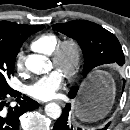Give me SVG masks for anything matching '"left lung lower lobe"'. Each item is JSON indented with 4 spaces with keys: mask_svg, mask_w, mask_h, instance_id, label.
<instances>
[{
    "mask_svg": "<svg viewBox=\"0 0 130 130\" xmlns=\"http://www.w3.org/2000/svg\"><path fill=\"white\" fill-rule=\"evenodd\" d=\"M123 82L125 83V80ZM75 96H76L75 93L69 92L70 98H74ZM70 112H71V106H70V104H66L65 108L62 111V115L56 121V123L53 127V130H73L74 127L71 124V119H70V116H69ZM109 125H110V122L104 128L98 129V130H106L109 127ZM77 130H82V129L78 128Z\"/></svg>",
    "mask_w": 130,
    "mask_h": 130,
    "instance_id": "obj_1",
    "label": "left lung lower lobe"
}]
</instances>
